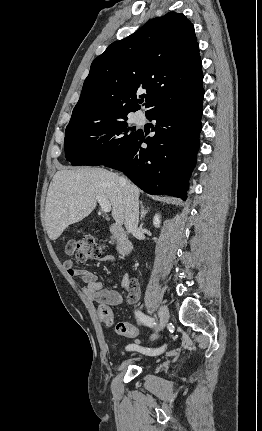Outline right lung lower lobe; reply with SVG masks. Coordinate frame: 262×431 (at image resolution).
<instances>
[{
    "label": "right lung lower lobe",
    "mask_w": 262,
    "mask_h": 431,
    "mask_svg": "<svg viewBox=\"0 0 262 431\" xmlns=\"http://www.w3.org/2000/svg\"><path fill=\"white\" fill-rule=\"evenodd\" d=\"M203 96L201 87L185 100L153 110L146 116L156 120L152 128L155 135L146 137L139 132L115 159L103 165L122 171L149 194H167L185 200L199 149Z\"/></svg>",
    "instance_id": "1"
}]
</instances>
